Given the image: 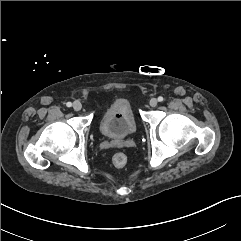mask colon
I'll list each match as a JSON object with an SVG mask.
<instances>
[{
    "mask_svg": "<svg viewBox=\"0 0 241 241\" xmlns=\"http://www.w3.org/2000/svg\"><path fill=\"white\" fill-rule=\"evenodd\" d=\"M127 161V156L124 153L119 152L113 156V164L118 168L124 167Z\"/></svg>",
    "mask_w": 241,
    "mask_h": 241,
    "instance_id": "obj_1",
    "label": "colon"
}]
</instances>
